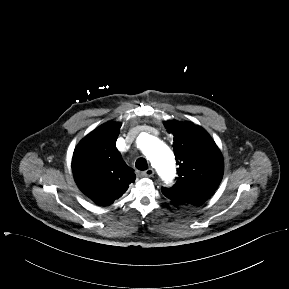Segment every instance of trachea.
I'll return each mask as SVG.
<instances>
[{
	"label": "trachea",
	"instance_id": "3493384b",
	"mask_svg": "<svg viewBox=\"0 0 289 289\" xmlns=\"http://www.w3.org/2000/svg\"><path fill=\"white\" fill-rule=\"evenodd\" d=\"M135 166L138 170H146L148 168L147 161L144 158H138Z\"/></svg>",
	"mask_w": 289,
	"mask_h": 289
}]
</instances>
